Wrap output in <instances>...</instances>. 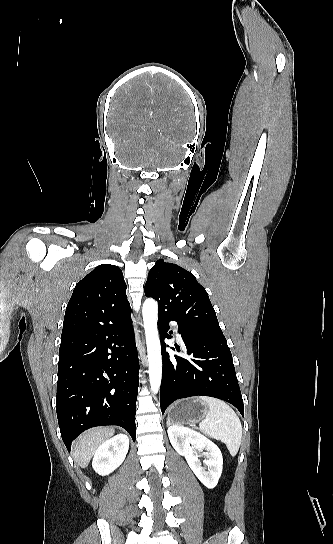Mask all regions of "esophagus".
<instances>
[{
  "instance_id": "1",
  "label": "esophagus",
  "mask_w": 333,
  "mask_h": 544,
  "mask_svg": "<svg viewBox=\"0 0 333 544\" xmlns=\"http://www.w3.org/2000/svg\"><path fill=\"white\" fill-rule=\"evenodd\" d=\"M136 342H137L138 349H139V351L141 352V351H142V344H141L140 339L137 338V339H136Z\"/></svg>"
}]
</instances>
